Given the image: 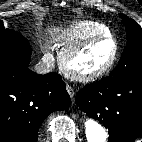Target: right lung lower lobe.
Returning <instances> with one entry per match:
<instances>
[{
    "label": "right lung lower lobe",
    "instance_id": "1",
    "mask_svg": "<svg viewBox=\"0 0 142 142\" xmlns=\"http://www.w3.org/2000/svg\"><path fill=\"white\" fill-rule=\"evenodd\" d=\"M28 66L0 61V142H36L44 119L70 105L59 74L39 75Z\"/></svg>",
    "mask_w": 142,
    "mask_h": 142
}]
</instances>
